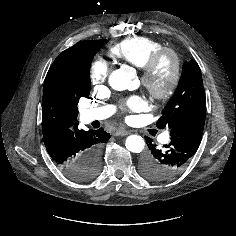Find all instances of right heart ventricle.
<instances>
[{
    "mask_svg": "<svg viewBox=\"0 0 236 236\" xmlns=\"http://www.w3.org/2000/svg\"><path fill=\"white\" fill-rule=\"evenodd\" d=\"M161 48L164 45L158 40L147 36H134L114 44L109 49V55L113 59L141 68Z\"/></svg>",
    "mask_w": 236,
    "mask_h": 236,
    "instance_id": "e07e8e85",
    "label": "right heart ventricle"
}]
</instances>
